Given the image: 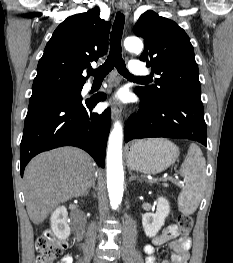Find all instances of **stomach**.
<instances>
[{"mask_svg": "<svg viewBox=\"0 0 233 263\" xmlns=\"http://www.w3.org/2000/svg\"><path fill=\"white\" fill-rule=\"evenodd\" d=\"M179 156L178 147L166 139L137 140L129 148L126 158L131 170L156 174L171 166Z\"/></svg>", "mask_w": 233, "mask_h": 263, "instance_id": "stomach-1", "label": "stomach"}]
</instances>
